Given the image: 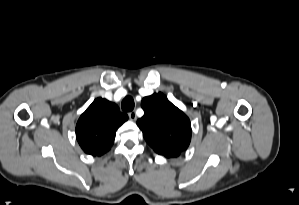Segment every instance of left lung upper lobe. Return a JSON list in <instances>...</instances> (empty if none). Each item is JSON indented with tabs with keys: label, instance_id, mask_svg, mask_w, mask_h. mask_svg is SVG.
I'll return each mask as SVG.
<instances>
[{
	"label": "left lung upper lobe",
	"instance_id": "left-lung-upper-lobe-1",
	"mask_svg": "<svg viewBox=\"0 0 299 205\" xmlns=\"http://www.w3.org/2000/svg\"><path fill=\"white\" fill-rule=\"evenodd\" d=\"M141 106L144 116L137 125L156 153L169 157L187 149L191 141L190 120L164 94L143 98Z\"/></svg>",
	"mask_w": 299,
	"mask_h": 205
}]
</instances>
